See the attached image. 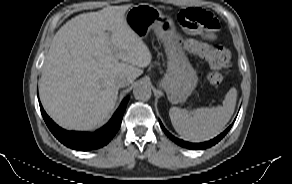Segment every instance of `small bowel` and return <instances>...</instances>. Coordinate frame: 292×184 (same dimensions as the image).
I'll list each match as a JSON object with an SVG mask.
<instances>
[{
    "mask_svg": "<svg viewBox=\"0 0 292 184\" xmlns=\"http://www.w3.org/2000/svg\"><path fill=\"white\" fill-rule=\"evenodd\" d=\"M215 30H209L208 32L204 33V35L209 38V39H212L214 38V32Z\"/></svg>",
    "mask_w": 292,
    "mask_h": 184,
    "instance_id": "obj_1",
    "label": "small bowel"
}]
</instances>
